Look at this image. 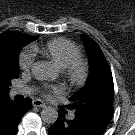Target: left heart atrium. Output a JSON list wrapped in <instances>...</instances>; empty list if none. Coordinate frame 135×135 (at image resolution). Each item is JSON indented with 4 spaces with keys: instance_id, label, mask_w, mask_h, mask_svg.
<instances>
[{
    "instance_id": "left-heart-atrium-1",
    "label": "left heart atrium",
    "mask_w": 135,
    "mask_h": 135,
    "mask_svg": "<svg viewBox=\"0 0 135 135\" xmlns=\"http://www.w3.org/2000/svg\"><path fill=\"white\" fill-rule=\"evenodd\" d=\"M60 91V88L57 87V86H48L47 87V92H54V93H57Z\"/></svg>"
}]
</instances>
